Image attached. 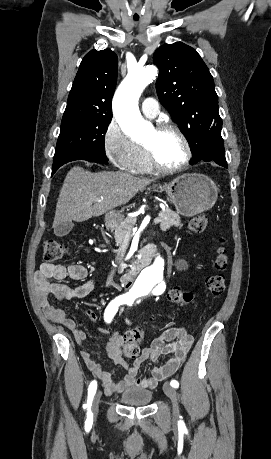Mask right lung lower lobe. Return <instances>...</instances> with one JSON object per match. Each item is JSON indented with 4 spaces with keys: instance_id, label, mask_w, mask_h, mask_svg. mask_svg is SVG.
<instances>
[{
    "instance_id": "98d812e1",
    "label": "right lung lower lobe",
    "mask_w": 271,
    "mask_h": 459,
    "mask_svg": "<svg viewBox=\"0 0 271 459\" xmlns=\"http://www.w3.org/2000/svg\"><path fill=\"white\" fill-rule=\"evenodd\" d=\"M74 160H86V161H91V162L108 164L107 158L101 157L99 155L89 154L85 152H73V153H69L65 156H62L54 160L53 168H52V175L63 164L70 162V161H74Z\"/></svg>"
}]
</instances>
